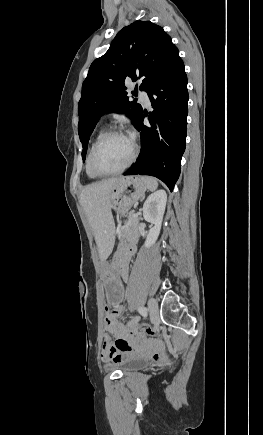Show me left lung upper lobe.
<instances>
[{"instance_id":"left-lung-upper-lobe-1","label":"left lung upper lobe","mask_w":263,"mask_h":435,"mask_svg":"<svg viewBox=\"0 0 263 435\" xmlns=\"http://www.w3.org/2000/svg\"><path fill=\"white\" fill-rule=\"evenodd\" d=\"M178 59L179 51L171 37L150 21H135L119 31L108 51L93 61L83 82L78 105L83 160L89 137L106 112L124 113L136 126L143 109L136 100L129 101L125 80L142 79L140 89L149 92ZM137 93L136 86L132 94L136 96Z\"/></svg>"}]
</instances>
